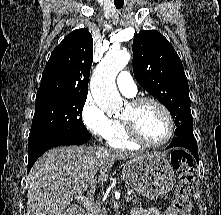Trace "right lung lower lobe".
Here are the masks:
<instances>
[{"mask_svg": "<svg viewBox=\"0 0 221 215\" xmlns=\"http://www.w3.org/2000/svg\"><path fill=\"white\" fill-rule=\"evenodd\" d=\"M90 138L91 134L88 133L85 135L76 136L68 139H50L30 146L28 151V171L32 168L33 164L38 159V157L48 149L59 145L83 144L89 141Z\"/></svg>", "mask_w": 221, "mask_h": 215, "instance_id": "98d812e1", "label": "right lung lower lobe"}]
</instances>
